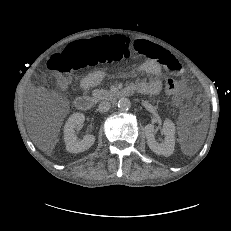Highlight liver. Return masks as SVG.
<instances>
[{
    "mask_svg": "<svg viewBox=\"0 0 231 231\" xmlns=\"http://www.w3.org/2000/svg\"><path fill=\"white\" fill-rule=\"evenodd\" d=\"M39 149H41L42 151H47L48 153L51 152V150L53 149V145L50 147V146H45V145H42L41 143H37Z\"/></svg>",
    "mask_w": 231,
    "mask_h": 231,
    "instance_id": "liver-1",
    "label": "liver"
}]
</instances>
